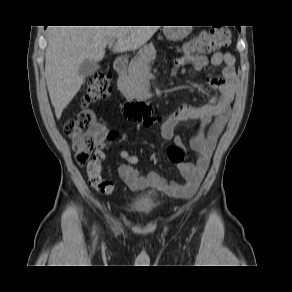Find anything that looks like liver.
<instances>
[{"mask_svg":"<svg viewBox=\"0 0 292 292\" xmlns=\"http://www.w3.org/2000/svg\"><path fill=\"white\" fill-rule=\"evenodd\" d=\"M158 26H49L45 77L57 119L80 90L85 60L99 62L105 47L116 40L113 51H134L147 43Z\"/></svg>","mask_w":292,"mask_h":292,"instance_id":"liver-1","label":"liver"}]
</instances>
